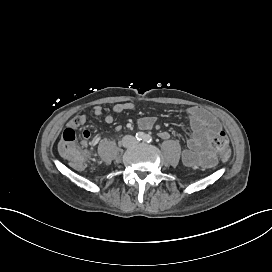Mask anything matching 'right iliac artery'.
Instances as JSON below:
<instances>
[{"instance_id":"82829eb1","label":"right iliac artery","mask_w":272,"mask_h":272,"mask_svg":"<svg viewBox=\"0 0 272 272\" xmlns=\"http://www.w3.org/2000/svg\"><path fill=\"white\" fill-rule=\"evenodd\" d=\"M135 137L138 141H142L145 138V134L143 132H138L136 133Z\"/></svg>"}]
</instances>
